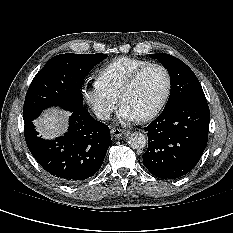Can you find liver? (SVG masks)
<instances>
[{"label":"liver","instance_id":"6515ba94","mask_svg":"<svg viewBox=\"0 0 233 233\" xmlns=\"http://www.w3.org/2000/svg\"><path fill=\"white\" fill-rule=\"evenodd\" d=\"M67 115L68 113L66 112H47L36 119L34 123L43 138L51 139L67 125Z\"/></svg>","mask_w":233,"mask_h":233}]
</instances>
